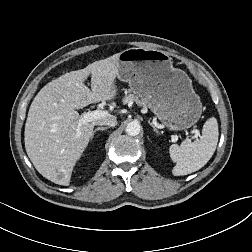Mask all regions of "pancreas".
Returning a JSON list of instances; mask_svg holds the SVG:
<instances>
[{
	"label": "pancreas",
	"mask_w": 252,
	"mask_h": 252,
	"mask_svg": "<svg viewBox=\"0 0 252 252\" xmlns=\"http://www.w3.org/2000/svg\"><path fill=\"white\" fill-rule=\"evenodd\" d=\"M131 101L135 102L139 106L146 105V103L144 101H142L137 95H134V94H129V95L125 96V98L123 99V104H126Z\"/></svg>",
	"instance_id": "pancreas-1"
}]
</instances>
